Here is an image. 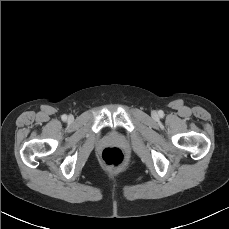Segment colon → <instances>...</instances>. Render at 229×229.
<instances>
[{"mask_svg": "<svg viewBox=\"0 0 229 229\" xmlns=\"http://www.w3.org/2000/svg\"><path fill=\"white\" fill-rule=\"evenodd\" d=\"M102 162L104 166L108 168H119L125 162V157L119 148L116 147H108L103 150L102 153Z\"/></svg>", "mask_w": 229, "mask_h": 229, "instance_id": "1", "label": "colon"}]
</instances>
